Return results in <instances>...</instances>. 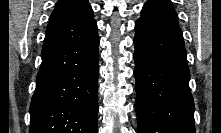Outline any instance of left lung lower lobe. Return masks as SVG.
<instances>
[{"instance_id":"0a47b994","label":"left lung lower lobe","mask_w":221,"mask_h":133,"mask_svg":"<svg viewBox=\"0 0 221 133\" xmlns=\"http://www.w3.org/2000/svg\"><path fill=\"white\" fill-rule=\"evenodd\" d=\"M138 133H195L190 72L179 26L135 24Z\"/></svg>"}]
</instances>
